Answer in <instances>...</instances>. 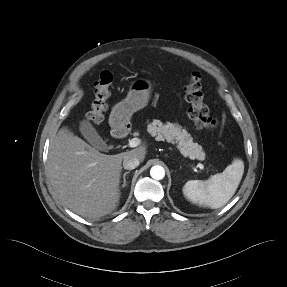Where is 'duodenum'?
<instances>
[{"instance_id": "duodenum-1", "label": "duodenum", "mask_w": 287, "mask_h": 287, "mask_svg": "<svg viewBox=\"0 0 287 287\" xmlns=\"http://www.w3.org/2000/svg\"><path fill=\"white\" fill-rule=\"evenodd\" d=\"M123 114V112H120L113 123V136L115 138H122L128 132V124Z\"/></svg>"}]
</instances>
